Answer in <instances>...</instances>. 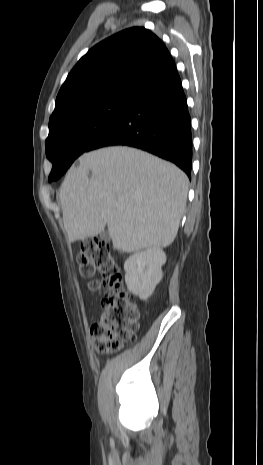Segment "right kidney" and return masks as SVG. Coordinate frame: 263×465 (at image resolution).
<instances>
[{"mask_svg": "<svg viewBox=\"0 0 263 465\" xmlns=\"http://www.w3.org/2000/svg\"><path fill=\"white\" fill-rule=\"evenodd\" d=\"M165 262L166 254L157 247L132 254L124 263L128 290L140 299L149 298L162 279L161 268Z\"/></svg>", "mask_w": 263, "mask_h": 465, "instance_id": "obj_1", "label": "right kidney"}]
</instances>
